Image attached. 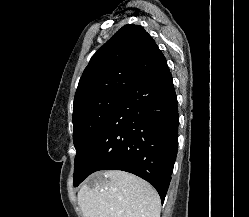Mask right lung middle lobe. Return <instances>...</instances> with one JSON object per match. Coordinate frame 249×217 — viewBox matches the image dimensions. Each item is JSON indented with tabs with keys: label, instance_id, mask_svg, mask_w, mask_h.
Returning <instances> with one entry per match:
<instances>
[{
	"label": "right lung middle lobe",
	"instance_id": "right-lung-middle-lobe-1",
	"mask_svg": "<svg viewBox=\"0 0 249 217\" xmlns=\"http://www.w3.org/2000/svg\"><path fill=\"white\" fill-rule=\"evenodd\" d=\"M124 96L125 93L108 92L73 108V140L76 148L73 183L80 177L79 165L88 146Z\"/></svg>",
	"mask_w": 249,
	"mask_h": 217
}]
</instances>
